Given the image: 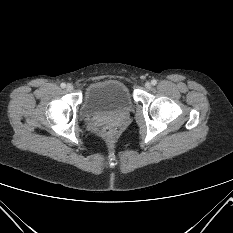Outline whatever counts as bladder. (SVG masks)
Segmentation results:
<instances>
[{
    "label": "bladder",
    "instance_id": "obj_1",
    "mask_svg": "<svg viewBox=\"0 0 233 233\" xmlns=\"http://www.w3.org/2000/svg\"><path fill=\"white\" fill-rule=\"evenodd\" d=\"M133 107L128 87L118 79H104L91 83L85 91L81 111L92 117L107 112H127Z\"/></svg>",
    "mask_w": 233,
    "mask_h": 233
}]
</instances>
